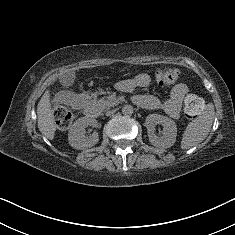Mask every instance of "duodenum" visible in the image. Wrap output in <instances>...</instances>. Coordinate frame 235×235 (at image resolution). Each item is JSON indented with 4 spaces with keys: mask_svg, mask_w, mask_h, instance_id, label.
I'll use <instances>...</instances> for the list:
<instances>
[{
    "mask_svg": "<svg viewBox=\"0 0 235 235\" xmlns=\"http://www.w3.org/2000/svg\"><path fill=\"white\" fill-rule=\"evenodd\" d=\"M89 101V100H87ZM96 114H97V110L94 106L90 105V103H87V106H86V115L88 117H96Z\"/></svg>",
    "mask_w": 235,
    "mask_h": 235,
    "instance_id": "410a0bca",
    "label": "duodenum"
}]
</instances>
